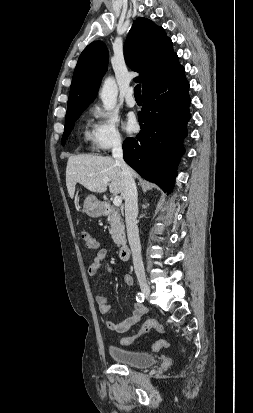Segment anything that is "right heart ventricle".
Returning <instances> with one entry per match:
<instances>
[{
	"label": "right heart ventricle",
	"mask_w": 253,
	"mask_h": 413,
	"mask_svg": "<svg viewBox=\"0 0 253 413\" xmlns=\"http://www.w3.org/2000/svg\"><path fill=\"white\" fill-rule=\"evenodd\" d=\"M84 139H85V140L91 139V134H90L88 131H85V132H84Z\"/></svg>",
	"instance_id": "right-heart-ventricle-1"
}]
</instances>
